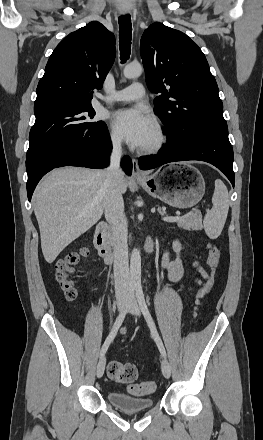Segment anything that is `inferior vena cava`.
Returning a JSON list of instances; mask_svg holds the SVG:
<instances>
[{"label": "inferior vena cava", "instance_id": "inferior-vena-cava-1", "mask_svg": "<svg viewBox=\"0 0 263 440\" xmlns=\"http://www.w3.org/2000/svg\"><path fill=\"white\" fill-rule=\"evenodd\" d=\"M112 152L110 166L105 170L106 186L104 197L105 218L111 226V242L114 256V282L117 300H124L130 291L129 260L127 235L128 230L124 220V203L119 187V179L123 172L120 169L122 157L121 141L112 137Z\"/></svg>", "mask_w": 263, "mask_h": 440}]
</instances>
